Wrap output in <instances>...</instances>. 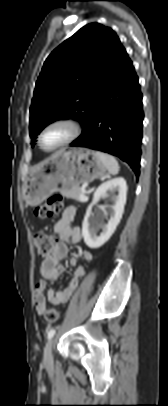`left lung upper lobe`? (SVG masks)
Returning <instances> with one entry per match:
<instances>
[{
    "mask_svg": "<svg viewBox=\"0 0 168 406\" xmlns=\"http://www.w3.org/2000/svg\"><path fill=\"white\" fill-rule=\"evenodd\" d=\"M124 51L111 28L91 23L48 56L30 108L32 145L35 136L55 120L78 119L85 127L100 91Z\"/></svg>",
    "mask_w": 168,
    "mask_h": 406,
    "instance_id": "left-lung-upper-lobe-1",
    "label": "left lung upper lobe"
}]
</instances>
